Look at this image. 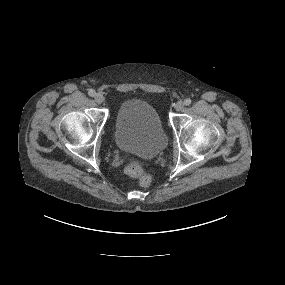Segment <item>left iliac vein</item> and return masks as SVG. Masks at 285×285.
<instances>
[{"label": "left iliac vein", "instance_id": "left-iliac-vein-1", "mask_svg": "<svg viewBox=\"0 0 285 285\" xmlns=\"http://www.w3.org/2000/svg\"><path fill=\"white\" fill-rule=\"evenodd\" d=\"M183 108H184V103H183L182 101H178V102L175 104V110H176V111H181Z\"/></svg>", "mask_w": 285, "mask_h": 285}]
</instances>
